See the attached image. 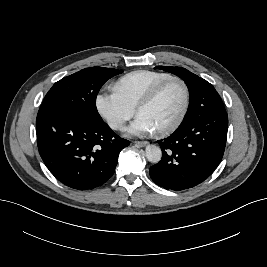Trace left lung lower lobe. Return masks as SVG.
I'll return each mask as SVG.
<instances>
[{
  "instance_id": "left-lung-lower-lobe-1",
  "label": "left lung lower lobe",
  "mask_w": 267,
  "mask_h": 267,
  "mask_svg": "<svg viewBox=\"0 0 267 267\" xmlns=\"http://www.w3.org/2000/svg\"><path fill=\"white\" fill-rule=\"evenodd\" d=\"M198 117L159 140L162 160L149 170L159 186L181 191L202 183L222 160L228 130L227 114L206 106Z\"/></svg>"
}]
</instances>
